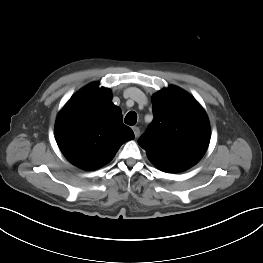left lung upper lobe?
Segmentation results:
<instances>
[{
  "label": "left lung upper lobe",
  "mask_w": 263,
  "mask_h": 263,
  "mask_svg": "<svg viewBox=\"0 0 263 263\" xmlns=\"http://www.w3.org/2000/svg\"><path fill=\"white\" fill-rule=\"evenodd\" d=\"M152 103L154 119L138 140L149 160L194 166L210 142V125L204 109L176 86L156 93Z\"/></svg>",
  "instance_id": "left-lung-upper-lobe-1"
}]
</instances>
